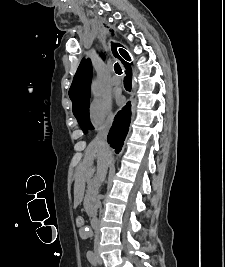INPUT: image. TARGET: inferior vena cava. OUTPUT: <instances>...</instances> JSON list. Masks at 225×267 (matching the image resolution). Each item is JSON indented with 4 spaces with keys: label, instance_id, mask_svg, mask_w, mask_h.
<instances>
[{
    "label": "inferior vena cava",
    "instance_id": "inferior-vena-cava-1",
    "mask_svg": "<svg viewBox=\"0 0 225 267\" xmlns=\"http://www.w3.org/2000/svg\"><path fill=\"white\" fill-rule=\"evenodd\" d=\"M112 124V120H108L106 122V124H104L100 129L99 132L95 138V142L102 148V150L110 157L111 156V151H110V147L107 143V135L109 132V129L111 127ZM107 168L108 166H105L102 171L97 175V182L98 184L102 183L106 177L107 174ZM98 205L100 206V200L98 199ZM99 245V234L98 232H96L95 235V240H94V246H98Z\"/></svg>",
    "mask_w": 225,
    "mask_h": 267
}]
</instances>
